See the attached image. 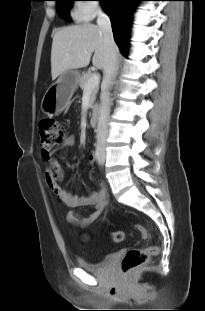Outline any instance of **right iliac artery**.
<instances>
[{"label": "right iliac artery", "instance_id": "82829eb1", "mask_svg": "<svg viewBox=\"0 0 205 311\" xmlns=\"http://www.w3.org/2000/svg\"><path fill=\"white\" fill-rule=\"evenodd\" d=\"M95 156H96V159L98 160L100 156V147L98 145L96 146Z\"/></svg>", "mask_w": 205, "mask_h": 311}]
</instances>
